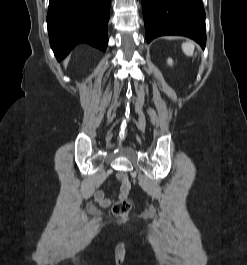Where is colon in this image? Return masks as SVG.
I'll list each match as a JSON object with an SVG mask.
<instances>
[{
	"label": "colon",
	"mask_w": 247,
	"mask_h": 265,
	"mask_svg": "<svg viewBox=\"0 0 247 265\" xmlns=\"http://www.w3.org/2000/svg\"><path fill=\"white\" fill-rule=\"evenodd\" d=\"M121 182V188L125 191H129L131 188L130 181L124 175H119ZM131 209V203L126 199H120L116 201L112 206V213L119 218H125Z\"/></svg>",
	"instance_id": "1"
}]
</instances>
